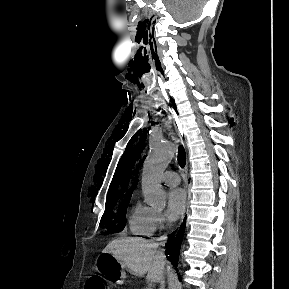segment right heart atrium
I'll return each mask as SVG.
<instances>
[{
	"instance_id": "obj_1",
	"label": "right heart atrium",
	"mask_w": 289,
	"mask_h": 289,
	"mask_svg": "<svg viewBox=\"0 0 289 289\" xmlns=\"http://www.w3.org/2000/svg\"><path fill=\"white\" fill-rule=\"evenodd\" d=\"M155 225L158 229H161L165 225V218L161 213H156Z\"/></svg>"
}]
</instances>
